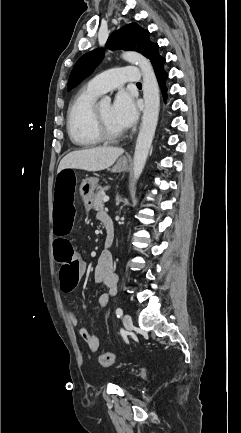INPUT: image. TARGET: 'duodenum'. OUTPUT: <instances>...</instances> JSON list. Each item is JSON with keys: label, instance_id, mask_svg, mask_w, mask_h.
I'll list each match as a JSON object with an SVG mask.
<instances>
[{"label": "duodenum", "instance_id": "duodenum-1", "mask_svg": "<svg viewBox=\"0 0 241 433\" xmlns=\"http://www.w3.org/2000/svg\"><path fill=\"white\" fill-rule=\"evenodd\" d=\"M101 222L103 223L104 227H105V231H106V236H105V248H109L114 240V222L112 220V218L109 215H104ZM105 253H107V250L104 251Z\"/></svg>", "mask_w": 241, "mask_h": 433}]
</instances>
